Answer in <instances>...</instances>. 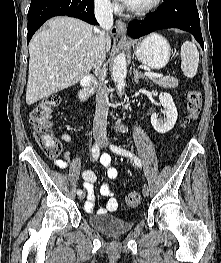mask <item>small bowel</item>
<instances>
[{
	"label": "small bowel",
	"mask_w": 221,
	"mask_h": 263,
	"mask_svg": "<svg viewBox=\"0 0 221 263\" xmlns=\"http://www.w3.org/2000/svg\"><path fill=\"white\" fill-rule=\"evenodd\" d=\"M65 140L68 141L70 138L68 135L64 136ZM69 153L65 154L64 160H56L54 163L61 169H66L69 163ZM101 164L107 168V178L108 181H105L101 187L100 192L103 196L107 197L106 203L99 208L96 212L99 214H104L107 212H111L117 209L118 202L115 198L114 189L111 187L109 181L116 180L118 176V171L111 166V157L104 153L100 157ZM82 178L84 180V187L87 191V200L84 203V209L88 213H94V202H95V194H94V183L97 180V177L94 172L90 170H85L82 172Z\"/></svg>",
	"instance_id": "c3829d8e"
}]
</instances>
